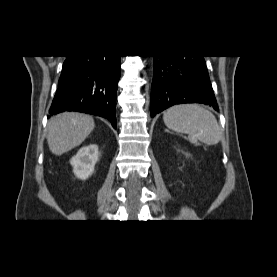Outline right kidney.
<instances>
[{
    "label": "right kidney",
    "mask_w": 277,
    "mask_h": 277,
    "mask_svg": "<svg viewBox=\"0 0 277 277\" xmlns=\"http://www.w3.org/2000/svg\"><path fill=\"white\" fill-rule=\"evenodd\" d=\"M98 160V146L90 144L82 147L77 154L72 157L70 164L73 166V172L76 177L85 180L93 172Z\"/></svg>",
    "instance_id": "1"
}]
</instances>
